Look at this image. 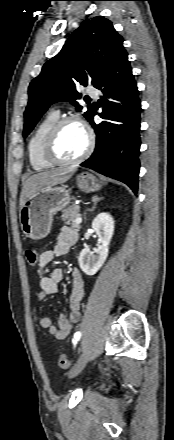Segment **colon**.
<instances>
[{
	"label": "colon",
	"mask_w": 174,
	"mask_h": 440,
	"mask_svg": "<svg viewBox=\"0 0 174 440\" xmlns=\"http://www.w3.org/2000/svg\"><path fill=\"white\" fill-rule=\"evenodd\" d=\"M26 261L29 266H35L38 263V252L35 248H28L25 252ZM59 366L62 369H69L70 359L66 354L59 357Z\"/></svg>",
	"instance_id": "colon-1"
}]
</instances>
